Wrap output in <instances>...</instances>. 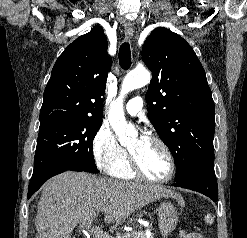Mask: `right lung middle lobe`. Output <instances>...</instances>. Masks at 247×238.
Listing matches in <instances>:
<instances>
[{"mask_svg":"<svg viewBox=\"0 0 247 238\" xmlns=\"http://www.w3.org/2000/svg\"><path fill=\"white\" fill-rule=\"evenodd\" d=\"M101 124L102 119H81L40 125L30 182L58 167L98 173L93 157V139Z\"/></svg>","mask_w":247,"mask_h":238,"instance_id":"obj_1","label":"right lung middle lobe"}]
</instances>
